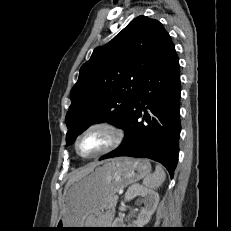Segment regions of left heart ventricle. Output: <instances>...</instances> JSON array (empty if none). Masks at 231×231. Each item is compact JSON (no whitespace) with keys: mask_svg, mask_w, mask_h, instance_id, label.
<instances>
[{"mask_svg":"<svg viewBox=\"0 0 231 231\" xmlns=\"http://www.w3.org/2000/svg\"><path fill=\"white\" fill-rule=\"evenodd\" d=\"M112 142V134L103 128H96L85 133L79 140L78 149L84 156L94 155Z\"/></svg>","mask_w":231,"mask_h":231,"instance_id":"b2bd125f","label":"left heart ventricle"}]
</instances>
